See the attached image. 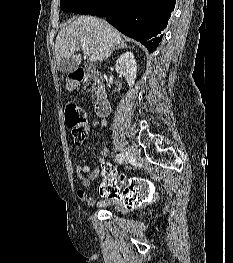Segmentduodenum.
Wrapping results in <instances>:
<instances>
[{
    "instance_id": "1",
    "label": "duodenum",
    "mask_w": 233,
    "mask_h": 263,
    "mask_svg": "<svg viewBox=\"0 0 233 263\" xmlns=\"http://www.w3.org/2000/svg\"><path fill=\"white\" fill-rule=\"evenodd\" d=\"M71 80L76 84L92 80L97 86V89H93L92 93V98L95 99L94 111L96 115L106 117L110 114V102L103 88V78L99 72L88 68H79L72 73Z\"/></svg>"
}]
</instances>
